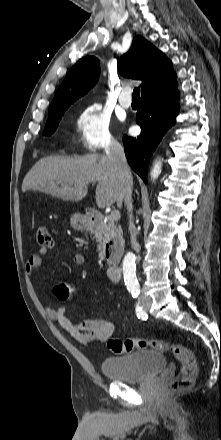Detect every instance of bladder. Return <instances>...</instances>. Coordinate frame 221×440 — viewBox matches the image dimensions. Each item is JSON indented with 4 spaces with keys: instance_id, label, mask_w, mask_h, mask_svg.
Masks as SVG:
<instances>
[{
    "instance_id": "bladder-1",
    "label": "bladder",
    "mask_w": 221,
    "mask_h": 440,
    "mask_svg": "<svg viewBox=\"0 0 221 440\" xmlns=\"http://www.w3.org/2000/svg\"><path fill=\"white\" fill-rule=\"evenodd\" d=\"M166 363V358L161 352L142 349L104 359L101 371L112 381L139 383L158 375Z\"/></svg>"
}]
</instances>
